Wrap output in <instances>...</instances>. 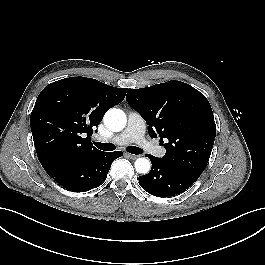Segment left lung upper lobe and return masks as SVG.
<instances>
[{"label": "left lung upper lobe", "mask_w": 265, "mask_h": 265, "mask_svg": "<svg viewBox=\"0 0 265 265\" xmlns=\"http://www.w3.org/2000/svg\"><path fill=\"white\" fill-rule=\"evenodd\" d=\"M129 105L149 125L151 137L159 133L164 163L199 177L213 148L216 125L206 97L181 81H168L141 89H129Z\"/></svg>", "instance_id": "1"}]
</instances>
